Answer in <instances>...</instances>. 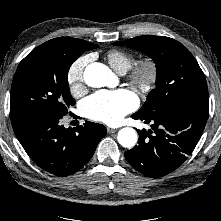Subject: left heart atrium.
Wrapping results in <instances>:
<instances>
[{"label":"left heart atrium","mask_w":221,"mask_h":221,"mask_svg":"<svg viewBox=\"0 0 221 221\" xmlns=\"http://www.w3.org/2000/svg\"><path fill=\"white\" fill-rule=\"evenodd\" d=\"M137 105V96L128 89L102 90L89 96L84 101L83 109L92 120L116 124Z\"/></svg>","instance_id":"obj_1"}]
</instances>
